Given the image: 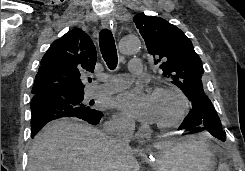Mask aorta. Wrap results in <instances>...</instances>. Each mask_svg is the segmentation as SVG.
<instances>
[{
    "mask_svg": "<svg viewBox=\"0 0 245 171\" xmlns=\"http://www.w3.org/2000/svg\"><path fill=\"white\" fill-rule=\"evenodd\" d=\"M141 42L136 36H125L119 42V51L123 55H132L140 50Z\"/></svg>",
    "mask_w": 245,
    "mask_h": 171,
    "instance_id": "762f6f07",
    "label": "aorta"
}]
</instances>
